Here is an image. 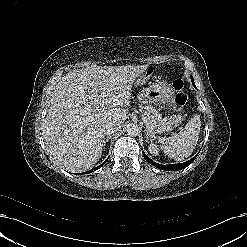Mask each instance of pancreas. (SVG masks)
<instances>
[{
    "label": "pancreas",
    "instance_id": "obj_1",
    "mask_svg": "<svg viewBox=\"0 0 247 247\" xmlns=\"http://www.w3.org/2000/svg\"><path fill=\"white\" fill-rule=\"evenodd\" d=\"M141 111L147 119L148 125L146 127L155 133H162L168 131L174 125L172 117L162 118L159 112L151 105L141 106Z\"/></svg>",
    "mask_w": 247,
    "mask_h": 247
}]
</instances>
